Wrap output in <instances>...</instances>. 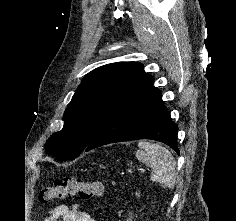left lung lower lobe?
Wrapping results in <instances>:
<instances>
[{
    "instance_id": "left-lung-lower-lobe-1",
    "label": "left lung lower lobe",
    "mask_w": 236,
    "mask_h": 221,
    "mask_svg": "<svg viewBox=\"0 0 236 221\" xmlns=\"http://www.w3.org/2000/svg\"><path fill=\"white\" fill-rule=\"evenodd\" d=\"M152 82L150 76L110 113L86 151L115 142L153 139L167 144L179 154L178 126L170 119L161 92L152 86Z\"/></svg>"
}]
</instances>
